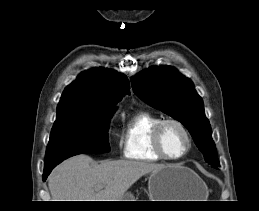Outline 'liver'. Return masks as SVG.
I'll return each instance as SVG.
<instances>
[{
	"label": "liver",
	"mask_w": 259,
	"mask_h": 211,
	"mask_svg": "<svg viewBox=\"0 0 259 211\" xmlns=\"http://www.w3.org/2000/svg\"><path fill=\"white\" fill-rule=\"evenodd\" d=\"M162 167L136 160L97 164L81 154L59 164L48 178V187L53 201H120L140 177Z\"/></svg>",
	"instance_id": "6515ba94"
}]
</instances>
